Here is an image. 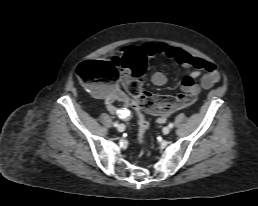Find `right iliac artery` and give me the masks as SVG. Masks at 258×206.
Listing matches in <instances>:
<instances>
[{"instance_id":"obj_1","label":"right iliac artery","mask_w":258,"mask_h":206,"mask_svg":"<svg viewBox=\"0 0 258 206\" xmlns=\"http://www.w3.org/2000/svg\"><path fill=\"white\" fill-rule=\"evenodd\" d=\"M113 125H114L115 127H118L119 124H118V122H114Z\"/></svg>"}]
</instances>
